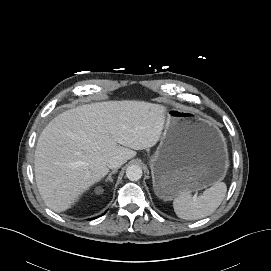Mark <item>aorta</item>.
Segmentation results:
<instances>
[{"label": "aorta", "instance_id": "1", "mask_svg": "<svg viewBox=\"0 0 271 271\" xmlns=\"http://www.w3.org/2000/svg\"><path fill=\"white\" fill-rule=\"evenodd\" d=\"M142 169L139 165H130L126 169V176L131 181H138L142 177Z\"/></svg>", "mask_w": 271, "mask_h": 271}]
</instances>
